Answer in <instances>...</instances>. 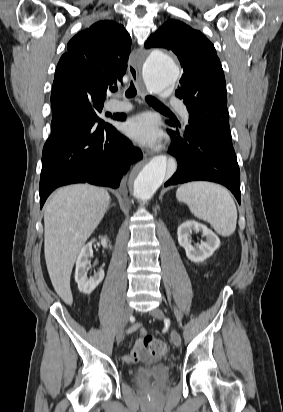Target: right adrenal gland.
I'll return each mask as SVG.
<instances>
[{
    "mask_svg": "<svg viewBox=\"0 0 283 412\" xmlns=\"http://www.w3.org/2000/svg\"><path fill=\"white\" fill-rule=\"evenodd\" d=\"M112 206H115V204H114V203H113V204H111V203H110V205H109V207H108V208H110V207H112Z\"/></svg>",
    "mask_w": 283,
    "mask_h": 412,
    "instance_id": "1",
    "label": "right adrenal gland"
}]
</instances>
